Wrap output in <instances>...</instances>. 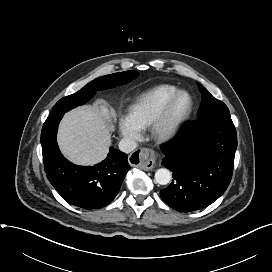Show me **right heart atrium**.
I'll return each mask as SVG.
<instances>
[{
  "mask_svg": "<svg viewBox=\"0 0 272 272\" xmlns=\"http://www.w3.org/2000/svg\"><path fill=\"white\" fill-rule=\"evenodd\" d=\"M119 130L123 138L136 142L140 139V130L129 120L128 117H121L119 120Z\"/></svg>",
  "mask_w": 272,
  "mask_h": 272,
  "instance_id": "1",
  "label": "right heart atrium"
}]
</instances>
